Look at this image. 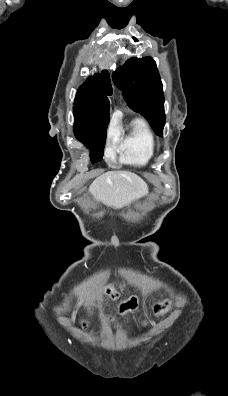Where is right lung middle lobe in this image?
<instances>
[{"label": "right lung middle lobe", "mask_w": 228, "mask_h": 396, "mask_svg": "<svg viewBox=\"0 0 228 396\" xmlns=\"http://www.w3.org/2000/svg\"><path fill=\"white\" fill-rule=\"evenodd\" d=\"M109 115L110 113L106 112L90 118H79L75 116V136L90 148L93 163L102 160Z\"/></svg>", "instance_id": "right-lung-middle-lobe-1"}]
</instances>
